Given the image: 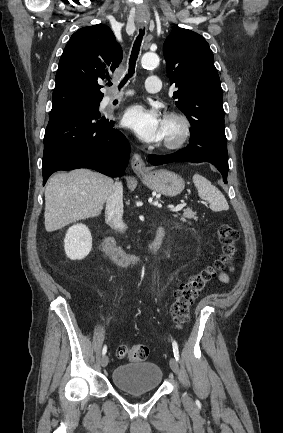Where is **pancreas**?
<instances>
[{"instance_id":"cf45deb5","label":"pancreas","mask_w":283,"mask_h":433,"mask_svg":"<svg viewBox=\"0 0 283 433\" xmlns=\"http://www.w3.org/2000/svg\"><path fill=\"white\" fill-rule=\"evenodd\" d=\"M196 212H193L192 208H184L180 221H186V219H196Z\"/></svg>"}]
</instances>
